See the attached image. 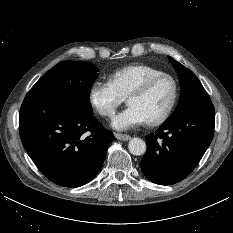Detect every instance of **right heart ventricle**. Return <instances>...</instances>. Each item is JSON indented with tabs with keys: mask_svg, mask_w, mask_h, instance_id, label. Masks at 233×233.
Instances as JSON below:
<instances>
[{
	"mask_svg": "<svg viewBox=\"0 0 233 233\" xmlns=\"http://www.w3.org/2000/svg\"><path fill=\"white\" fill-rule=\"evenodd\" d=\"M160 73L163 72L150 65L131 64L115 70L110 76V81L126 97L132 89L145 79Z\"/></svg>",
	"mask_w": 233,
	"mask_h": 233,
	"instance_id": "obj_1",
	"label": "right heart ventricle"
}]
</instances>
